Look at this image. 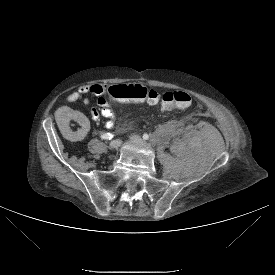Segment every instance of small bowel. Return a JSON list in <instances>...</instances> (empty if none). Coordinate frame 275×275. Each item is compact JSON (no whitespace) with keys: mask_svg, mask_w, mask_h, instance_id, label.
I'll return each mask as SVG.
<instances>
[{"mask_svg":"<svg viewBox=\"0 0 275 275\" xmlns=\"http://www.w3.org/2000/svg\"><path fill=\"white\" fill-rule=\"evenodd\" d=\"M110 87L107 84L95 83L80 86L69 94L68 102L82 101L88 103L87 95L97 97V108L92 109V117L96 121L103 120L107 129H112L115 124V114L112 105L105 101V94ZM55 126L61 135L72 142L82 141L88 134L90 125L78 108L62 107L56 113Z\"/></svg>","mask_w":275,"mask_h":275,"instance_id":"c3829d8e","label":"small bowel"}]
</instances>
